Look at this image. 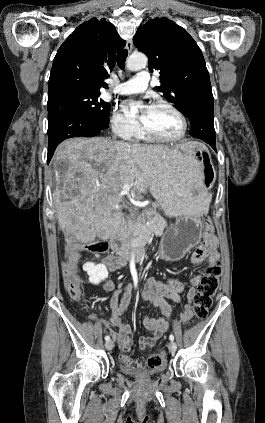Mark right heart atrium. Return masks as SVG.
<instances>
[{
  "instance_id": "right-heart-atrium-1",
  "label": "right heart atrium",
  "mask_w": 265,
  "mask_h": 423,
  "mask_svg": "<svg viewBox=\"0 0 265 423\" xmlns=\"http://www.w3.org/2000/svg\"><path fill=\"white\" fill-rule=\"evenodd\" d=\"M113 131L121 138L130 140L140 132V125L121 110L115 109L111 117Z\"/></svg>"
}]
</instances>
